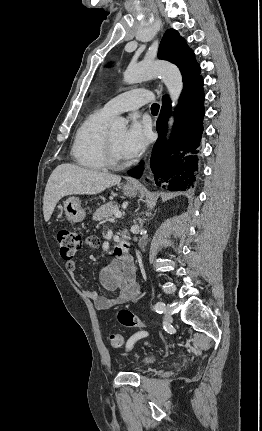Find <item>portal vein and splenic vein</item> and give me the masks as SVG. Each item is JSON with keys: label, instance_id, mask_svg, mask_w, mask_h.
<instances>
[{"label": "portal vein and splenic vein", "instance_id": "portal-vein-and-splenic-vein-1", "mask_svg": "<svg viewBox=\"0 0 262 431\" xmlns=\"http://www.w3.org/2000/svg\"><path fill=\"white\" fill-rule=\"evenodd\" d=\"M114 216H115V218H121L122 214H121V212L116 211V212H114Z\"/></svg>", "mask_w": 262, "mask_h": 431}]
</instances>
